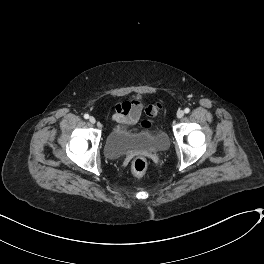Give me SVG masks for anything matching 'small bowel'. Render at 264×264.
<instances>
[{
  "label": "small bowel",
  "mask_w": 264,
  "mask_h": 264,
  "mask_svg": "<svg viewBox=\"0 0 264 264\" xmlns=\"http://www.w3.org/2000/svg\"><path fill=\"white\" fill-rule=\"evenodd\" d=\"M143 104L139 99L126 101L117 106L116 112L112 115V120L119 123L127 130H133L139 121ZM142 128H147V121L141 123Z\"/></svg>",
  "instance_id": "obj_1"
}]
</instances>
